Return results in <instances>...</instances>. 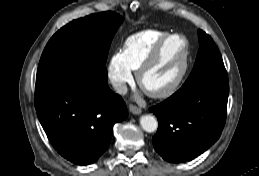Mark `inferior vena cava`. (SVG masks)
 <instances>
[{
    "label": "inferior vena cava",
    "mask_w": 259,
    "mask_h": 176,
    "mask_svg": "<svg viewBox=\"0 0 259 176\" xmlns=\"http://www.w3.org/2000/svg\"><path fill=\"white\" fill-rule=\"evenodd\" d=\"M112 86L114 87L116 92L120 95H125L127 93V90H128L127 85L122 81L112 80Z\"/></svg>",
    "instance_id": "inferior-vena-cava-1"
}]
</instances>
